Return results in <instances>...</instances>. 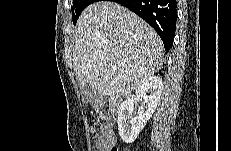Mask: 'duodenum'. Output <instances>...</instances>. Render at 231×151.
Masks as SVG:
<instances>
[{
  "label": "duodenum",
  "mask_w": 231,
  "mask_h": 151,
  "mask_svg": "<svg viewBox=\"0 0 231 151\" xmlns=\"http://www.w3.org/2000/svg\"><path fill=\"white\" fill-rule=\"evenodd\" d=\"M115 107H119L121 105V101L118 99H114L111 101Z\"/></svg>",
  "instance_id": "1"
}]
</instances>
